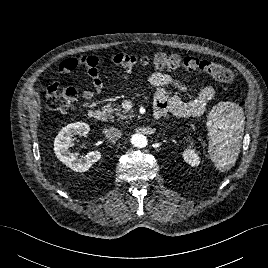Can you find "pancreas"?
Instances as JSON below:
<instances>
[{"instance_id": "cf45deb5", "label": "pancreas", "mask_w": 268, "mask_h": 268, "mask_svg": "<svg viewBox=\"0 0 268 268\" xmlns=\"http://www.w3.org/2000/svg\"><path fill=\"white\" fill-rule=\"evenodd\" d=\"M104 112L107 113V116L110 117L111 119H114L117 117V119H125L127 116H130V114L126 115L128 112L121 110L120 107L115 106L112 103H108L103 107Z\"/></svg>"}]
</instances>
